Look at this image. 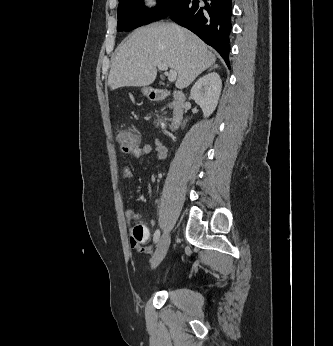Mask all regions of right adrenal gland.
<instances>
[{
	"instance_id": "obj_1",
	"label": "right adrenal gland",
	"mask_w": 333,
	"mask_h": 346,
	"mask_svg": "<svg viewBox=\"0 0 333 346\" xmlns=\"http://www.w3.org/2000/svg\"><path fill=\"white\" fill-rule=\"evenodd\" d=\"M217 65H214L213 67L210 68V70L217 68Z\"/></svg>"
}]
</instances>
